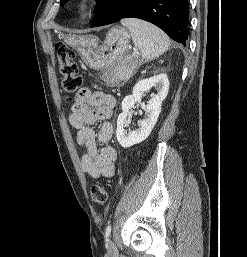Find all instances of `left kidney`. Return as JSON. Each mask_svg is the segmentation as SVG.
<instances>
[{
  "label": "left kidney",
  "mask_w": 247,
  "mask_h": 257,
  "mask_svg": "<svg viewBox=\"0 0 247 257\" xmlns=\"http://www.w3.org/2000/svg\"><path fill=\"white\" fill-rule=\"evenodd\" d=\"M155 87L156 94L151 95V99L147 104H141L145 111V118L138 121V128L136 130L127 132L125 127L129 125L128 113L134 106L135 102H141L144 93ZM169 90V80L166 74H159L157 76L140 80L133 87L132 95L126 96L122 101V113L117 119L116 137L119 144L128 148L135 144L144 141L152 129L154 128L159 114L161 112V105L166 98Z\"/></svg>",
  "instance_id": "1"
}]
</instances>
